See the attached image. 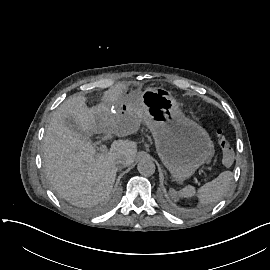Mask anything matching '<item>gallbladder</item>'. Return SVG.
Instances as JSON below:
<instances>
[{
  "label": "gallbladder",
  "mask_w": 270,
  "mask_h": 270,
  "mask_svg": "<svg viewBox=\"0 0 270 270\" xmlns=\"http://www.w3.org/2000/svg\"><path fill=\"white\" fill-rule=\"evenodd\" d=\"M65 124L67 127H69L71 130H73L74 132L76 133H81L83 132L82 131V128L79 124H77L73 118H67L65 120Z\"/></svg>",
  "instance_id": "gallbladder-1"
}]
</instances>
